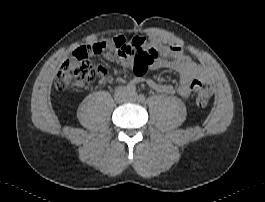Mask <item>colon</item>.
Wrapping results in <instances>:
<instances>
[{"instance_id":"5ec220e1","label":"colon","mask_w":265,"mask_h":202,"mask_svg":"<svg viewBox=\"0 0 265 202\" xmlns=\"http://www.w3.org/2000/svg\"><path fill=\"white\" fill-rule=\"evenodd\" d=\"M115 51L124 56H133V72L137 77H142L147 69L148 63L157 56L153 48H147L142 41H130L122 37L111 39L108 42L92 44L80 54H73L61 66L56 80L55 87L58 91H78L87 84L94 81L97 75H106L107 72L95 66L90 56H98L103 52ZM193 98L200 107L209 104L213 88L210 84L195 80L191 84Z\"/></svg>"}]
</instances>
